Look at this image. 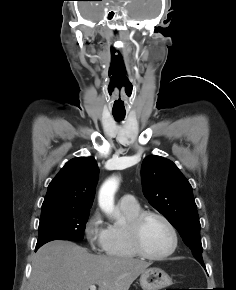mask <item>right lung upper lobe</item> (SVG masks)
<instances>
[{"instance_id": "cb5924a9", "label": "right lung upper lobe", "mask_w": 236, "mask_h": 290, "mask_svg": "<svg viewBox=\"0 0 236 290\" xmlns=\"http://www.w3.org/2000/svg\"><path fill=\"white\" fill-rule=\"evenodd\" d=\"M99 169L92 157L71 159L48 186L42 211L50 209L90 210Z\"/></svg>"}]
</instances>
